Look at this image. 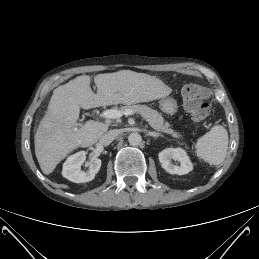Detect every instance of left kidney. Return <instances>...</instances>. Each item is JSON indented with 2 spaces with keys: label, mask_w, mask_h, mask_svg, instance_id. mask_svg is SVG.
<instances>
[{
  "label": "left kidney",
  "mask_w": 259,
  "mask_h": 259,
  "mask_svg": "<svg viewBox=\"0 0 259 259\" xmlns=\"http://www.w3.org/2000/svg\"><path fill=\"white\" fill-rule=\"evenodd\" d=\"M158 156L162 167L170 174L185 175L193 169L186 151L182 148H167ZM172 160L179 162L180 165L173 164Z\"/></svg>",
  "instance_id": "obj_1"
}]
</instances>
